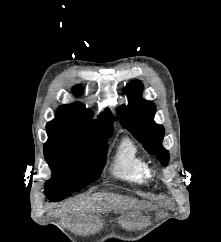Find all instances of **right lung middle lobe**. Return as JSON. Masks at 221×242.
<instances>
[{"label":"right lung middle lobe","mask_w":221,"mask_h":242,"mask_svg":"<svg viewBox=\"0 0 221 242\" xmlns=\"http://www.w3.org/2000/svg\"><path fill=\"white\" fill-rule=\"evenodd\" d=\"M44 156L52 170L46 182V194L60 198L70 196L98 180L106 163V138H91L70 131H47Z\"/></svg>","instance_id":"right-lung-middle-lobe-1"}]
</instances>
